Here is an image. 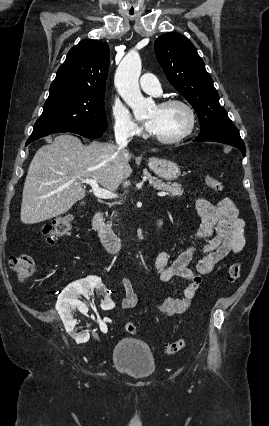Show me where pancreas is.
<instances>
[{
  "instance_id": "cf45deb5",
  "label": "pancreas",
  "mask_w": 269,
  "mask_h": 426,
  "mask_svg": "<svg viewBox=\"0 0 269 426\" xmlns=\"http://www.w3.org/2000/svg\"><path fill=\"white\" fill-rule=\"evenodd\" d=\"M148 181L150 185H152L157 190H163L167 192L168 196L175 197V196H181L183 194V189L181 188V185L178 183H165L162 180L151 176L150 174H147ZM114 214V213H113Z\"/></svg>"
}]
</instances>
